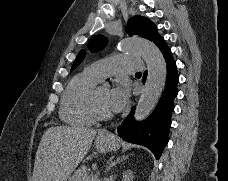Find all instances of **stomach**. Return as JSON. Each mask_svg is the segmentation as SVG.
<instances>
[{"label": "stomach", "instance_id": "stomach-1", "mask_svg": "<svg viewBox=\"0 0 228 181\" xmlns=\"http://www.w3.org/2000/svg\"><path fill=\"white\" fill-rule=\"evenodd\" d=\"M119 143L115 135H107L106 131H100L95 139V149L99 153H108V151H115L118 149Z\"/></svg>", "mask_w": 228, "mask_h": 181}]
</instances>
